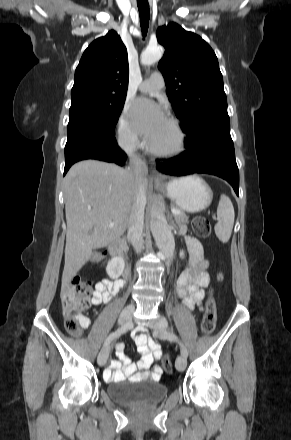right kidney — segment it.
I'll return each mask as SVG.
<instances>
[{
    "label": "right kidney",
    "instance_id": "obj_1",
    "mask_svg": "<svg viewBox=\"0 0 291 440\" xmlns=\"http://www.w3.org/2000/svg\"><path fill=\"white\" fill-rule=\"evenodd\" d=\"M124 267V260L120 257H114L108 262L106 272L111 279H117L123 273Z\"/></svg>",
    "mask_w": 291,
    "mask_h": 440
}]
</instances>
